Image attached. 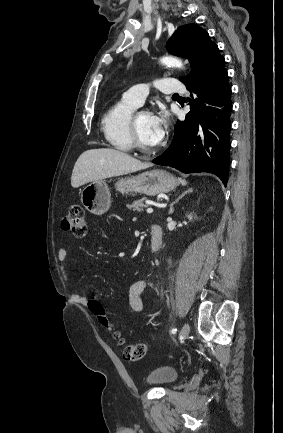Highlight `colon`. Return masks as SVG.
Wrapping results in <instances>:
<instances>
[{"mask_svg":"<svg viewBox=\"0 0 283 433\" xmlns=\"http://www.w3.org/2000/svg\"><path fill=\"white\" fill-rule=\"evenodd\" d=\"M61 227L71 232L76 237H83L87 233V220L85 210L80 204H72L67 214L62 218ZM90 311L97 317L102 326L113 329V323L106 315L103 306L96 299L88 300ZM115 338L123 346V357L128 361H139L144 358L147 346L143 342L126 344L119 332H115Z\"/></svg>","mask_w":283,"mask_h":433,"instance_id":"obj_1","label":"colon"}]
</instances>
